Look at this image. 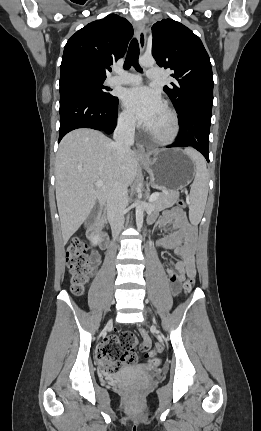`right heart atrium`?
Listing matches in <instances>:
<instances>
[{"label":"right heart atrium","mask_w":261,"mask_h":431,"mask_svg":"<svg viewBox=\"0 0 261 431\" xmlns=\"http://www.w3.org/2000/svg\"><path fill=\"white\" fill-rule=\"evenodd\" d=\"M118 124L123 129H132L134 126V121L130 114L126 111H121L118 114Z\"/></svg>","instance_id":"1"}]
</instances>
